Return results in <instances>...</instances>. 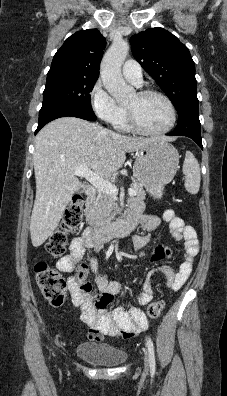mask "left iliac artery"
Listing matches in <instances>:
<instances>
[{"instance_id": "1", "label": "left iliac artery", "mask_w": 227, "mask_h": 396, "mask_svg": "<svg viewBox=\"0 0 227 396\" xmlns=\"http://www.w3.org/2000/svg\"><path fill=\"white\" fill-rule=\"evenodd\" d=\"M147 346H148V351H149L150 370L152 373H154L155 372V354H154L153 342L151 341V339L147 340Z\"/></svg>"}]
</instances>
